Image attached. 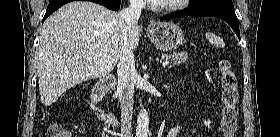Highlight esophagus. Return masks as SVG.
<instances>
[{"label":"esophagus","mask_w":280,"mask_h":137,"mask_svg":"<svg viewBox=\"0 0 280 137\" xmlns=\"http://www.w3.org/2000/svg\"><path fill=\"white\" fill-rule=\"evenodd\" d=\"M147 30H148V31H151V30H152V27H151V26H148Z\"/></svg>","instance_id":"34e87169"}]
</instances>
